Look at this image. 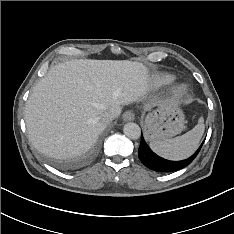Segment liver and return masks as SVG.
<instances>
[{"mask_svg": "<svg viewBox=\"0 0 234 234\" xmlns=\"http://www.w3.org/2000/svg\"><path fill=\"white\" fill-rule=\"evenodd\" d=\"M149 84L148 69L135 61L74 59L59 63L35 85L26 102L29 139L46 156H78L106 128L100 116L137 101Z\"/></svg>", "mask_w": 234, "mask_h": 234, "instance_id": "obj_1", "label": "liver"}]
</instances>
